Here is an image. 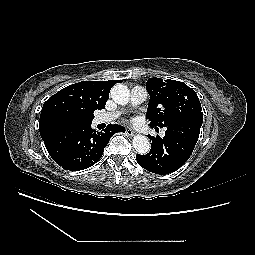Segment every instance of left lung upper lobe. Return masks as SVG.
Segmentation results:
<instances>
[{"mask_svg":"<svg viewBox=\"0 0 255 255\" xmlns=\"http://www.w3.org/2000/svg\"><path fill=\"white\" fill-rule=\"evenodd\" d=\"M146 89L150 95L147 118L153 126L162 128L203 116L197 94L183 82L150 78Z\"/></svg>","mask_w":255,"mask_h":255,"instance_id":"obj_1","label":"left lung upper lobe"}]
</instances>
